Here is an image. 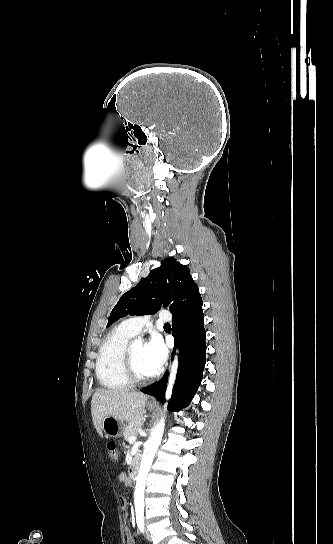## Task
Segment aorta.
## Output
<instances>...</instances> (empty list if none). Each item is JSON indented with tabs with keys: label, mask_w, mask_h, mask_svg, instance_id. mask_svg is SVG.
Segmentation results:
<instances>
[{
	"label": "aorta",
	"mask_w": 333,
	"mask_h": 544,
	"mask_svg": "<svg viewBox=\"0 0 333 544\" xmlns=\"http://www.w3.org/2000/svg\"><path fill=\"white\" fill-rule=\"evenodd\" d=\"M139 344H141V340L139 338L135 339L133 342V346H137ZM177 368H178V360H177V357H175L172 363L171 372L169 376L168 387L166 391V399H169L171 396L172 387L176 379ZM164 425H165L164 418H162L157 423L155 428L152 430L151 436L146 442L144 447V452L142 455L140 468H139V472L137 476V481L135 485V491H134V504H135V507L137 508L144 507V492H145L146 478L150 470V467L152 465L155 453L161 443L163 432H164Z\"/></svg>",
	"instance_id": "aorta-1"
}]
</instances>
